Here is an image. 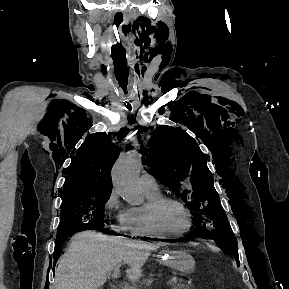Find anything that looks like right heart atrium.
<instances>
[{
	"label": "right heart atrium",
	"instance_id": "d8ad5b80",
	"mask_svg": "<svg viewBox=\"0 0 289 289\" xmlns=\"http://www.w3.org/2000/svg\"><path fill=\"white\" fill-rule=\"evenodd\" d=\"M103 210L107 217L113 220L111 229L115 232H126L129 229L128 209H126L115 189H112L103 204Z\"/></svg>",
	"mask_w": 289,
	"mask_h": 289
}]
</instances>
